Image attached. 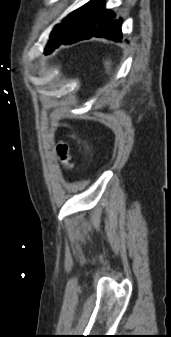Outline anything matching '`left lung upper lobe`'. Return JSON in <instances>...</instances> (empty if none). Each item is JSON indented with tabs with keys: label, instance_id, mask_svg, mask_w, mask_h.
Instances as JSON below:
<instances>
[{
	"label": "left lung upper lobe",
	"instance_id": "5c2ea615",
	"mask_svg": "<svg viewBox=\"0 0 171 337\" xmlns=\"http://www.w3.org/2000/svg\"><path fill=\"white\" fill-rule=\"evenodd\" d=\"M83 10L84 6L70 13L66 18L62 20L61 24H57L55 26L50 35V40L45 48V54H50L56 48V45L67 35H69V33L78 23L83 13Z\"/></svg>",
	"mask_w": 171,
	"mask_h": 337
}]
</instances>
